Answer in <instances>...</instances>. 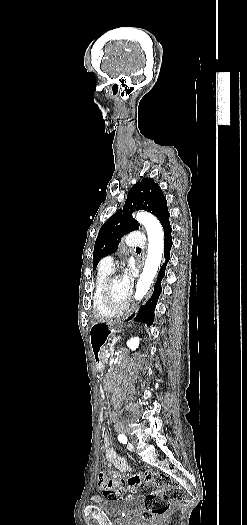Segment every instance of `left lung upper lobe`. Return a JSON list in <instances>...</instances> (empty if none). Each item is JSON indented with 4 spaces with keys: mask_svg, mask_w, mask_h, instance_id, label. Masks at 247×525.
<instances>
[{
    "mask_svg": "<svg viewBox=\"0 0 247 525\" xmlns=\"http://www.w3.org/2000/svg\"><path fill=\"white\" fill-rule=\"evenodd\" d=\"M136 210H147L160 222L169 216L166 198L154 179L138 181L129 191L123 208L101 227L94 246L93 269H96L102 257L117 250L124 235L139 229V223L131 215Z\"/></svg>",
    "mask_w": 247,
    "mask_h": 525,
    "instance_id": "5c2ea615",
    "label": "left lung upper lobe"
}]
</instances>
